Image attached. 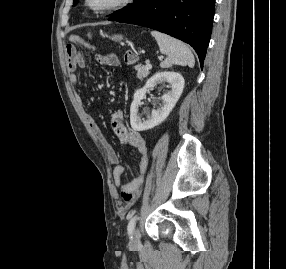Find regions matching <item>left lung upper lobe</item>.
<instances>
[{"label":"left lung upper lobe","mask_w":286,"mask_h":269,"mask_svg":"<svg viewBox=\"0 0 286 269\" xmlns=\"http://www.w3.org/2000/svg\"><path fill=\"white\" fill-rule=\"evenodd\" d=\"M134 1L135 4L133 6L124 7L123 9L116 11L115 13H117V15L109 18V20L116 21L125 18L127 16H130L135 12L139 11L140 9H142L143 7H145L146 3L148 2V0H134ZM77 2L78 0H74L73 5H75Z\"/></svg>","instance_id":"1"}]
</instances>
